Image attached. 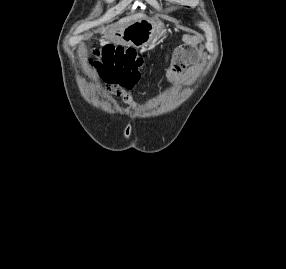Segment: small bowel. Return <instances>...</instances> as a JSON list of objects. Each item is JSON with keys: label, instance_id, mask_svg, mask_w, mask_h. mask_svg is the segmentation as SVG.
<instances>
[{"label": "small bowel", "instance_id": "c3829d8e", "mask_svg": "<svg viewBox=\"0 0 286 269\" xmlns=\"http://www.w3.org/2000/svg\"><path fill=\"white\" fill-rule=\"evenodd\" d=\"M196 45V40L187 38L185 44L176 50L172 58L170 69L166 75L167 80L172 86H180L195 76L197 71L195 64L203 58L202 52ZM115 93L132 108H135V104L131 101L126 92L116 90Z\"/></svg>", "mask_w": 286, "mask_h": 269}]
</instances>
